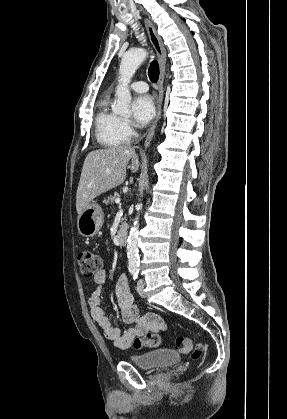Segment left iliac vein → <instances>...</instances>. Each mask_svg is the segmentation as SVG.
Here are the masks:
<instances>
[{"mask_svg":"<svg viewBox=\"0 0 287 419\" xmlns=\"http://www.w3.org/2000/svg\"><path fill=\"white\" fill-rule=\"evenodd\" d=\"M144 286L145 281L143 279H139L137 282V292L141 297H145Z\"/></svg>","mask_w":287,"mask_h":419,"instance_id":"4c4485c4","label":"left iliac vein"}]
</instances>
